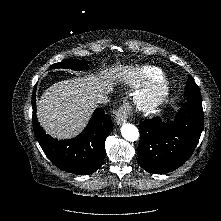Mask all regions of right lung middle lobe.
Returning <instances> with one entry per match:
<instances>
[{
	"label": "right lung middle lobe",
	"mask_w": 221,
	"mask_h": 221,
	"mask_svg": "<svg viewBox=\"0 0 221 221\" xmlns=\"http://www.w3.org/2000/svg\"><path fill=\"white\" fill-rule=\"evenodd\" d=\"M51 69L53 68H67L73 70H84L88 68V63L82 60H64L59 63H55L50 66Z\"/></svg>",
	"instance_id": "right-lung-middle-lobe-1"
}]
</instances>
